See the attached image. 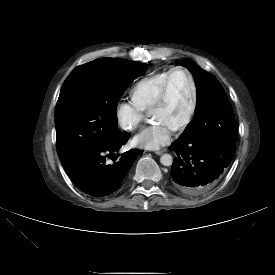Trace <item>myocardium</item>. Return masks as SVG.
Returning <instances> with one entry per match:
<instances>
[{
  "mask_svg": "<svg viewBox=\"0 0 275 275\" xmlns=\"http://www.w3.org/2000/svg\"><path fill=\"white\" fill-rule=\"evenodd\" d=\"M178 71L184 72L187 75L190 86H191V91H192V101H191V106H190L189 112H188L186 118L174 129L175 131H182L186 127H188L189 124L192 122V120L195 116L196 110H197V106H198L197 85H196V82H195V79H194L192 73L187 68H185L183 66H176V67H173L172 69H170V71L168 72V74L164 80V83L159 91L157 99L151 108V111L162 107L166 103L170 79H171L172 75Z\"/></svg>",
  "mask_w": 275,
  "mask_h": 275,
  "instance_id": "myocardium-1",
  "label": "myocardium"
}]
</instances>
